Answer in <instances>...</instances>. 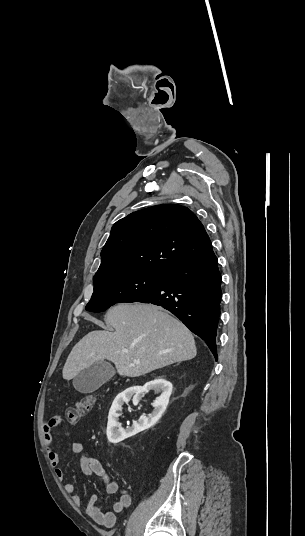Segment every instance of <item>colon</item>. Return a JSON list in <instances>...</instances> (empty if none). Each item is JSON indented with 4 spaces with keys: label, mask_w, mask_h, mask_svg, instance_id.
<instances>
[{
    "label": "colon",
    "mask_w": 305,
    "mask_h": 536,
    "mask_svg": "<svg viewBox=\"0 0 305 536\" xmlns=\"http://www.w3.org/2000/svg\"><path fill=\"white\" fill-rule=\"evenodd\" d=\"M96 400V395L88 394L81 399H78L73 405H69L66 409V421L71 424L76 423L83 415L93 408Z\"/></svg>",
    "instance_id": "5ec220e1"
}]
</instances>
